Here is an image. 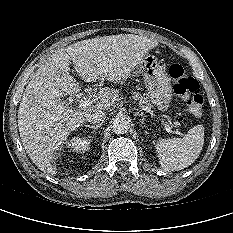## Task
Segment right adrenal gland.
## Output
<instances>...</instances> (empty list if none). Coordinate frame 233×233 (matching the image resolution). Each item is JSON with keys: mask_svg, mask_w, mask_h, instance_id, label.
<instances>
[{"mask_svg": "<svg viewBox=\"0 0 233 233\" xmlns=\"http://www.w3.org/2000/svg\"><path fill=\"white\" fill-rule=\"evenodd\" d=\"M86 127L92 128V129H94V130H97L98 128L101 127V124H99V125H86Z\"/></svg>", "mask_w": 233, "mask_h": 233, "instance_id": "2a0ac1e0", "label": "right adrenal gland"}]
</instances>
